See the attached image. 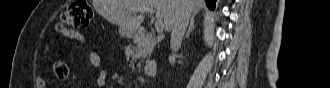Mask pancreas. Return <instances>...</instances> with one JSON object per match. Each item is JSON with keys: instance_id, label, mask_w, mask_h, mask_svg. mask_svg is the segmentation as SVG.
Instances as JSON below:
<instances>
[{"instance_id": "obj_1", "label": "pancreas", "mask_w": 330, "mask_h": 88, "mask_svg": "<svg viewBox=\"0 0 330 88\" xmlns=\"http://www.w3.org/2000/svg\"><path fill=\"white\" fill-rule=\"evenodd\" d=\"M155 45L156 40L154 37H150L138 44V46L132 50L133 59L136 60L147 57L153 51Z\"/></svg>"}]
</instances>
